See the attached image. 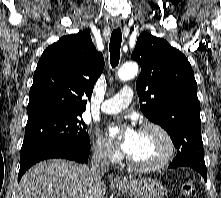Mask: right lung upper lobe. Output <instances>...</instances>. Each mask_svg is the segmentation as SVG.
<instances>
[{
	"instance_id": "right-lung-upper-lobe-1",
	"label": "right lung upper lobe",
	"mask_w": 221,
	"mask_h": 198,
	"mask_svg": "<svg viewBox=\"0 0 221 198\" xmlns=\"http://www.w3.org/2000/svg\"><path fill=\"white\" fill-rule=\"evenodd\" d=\"M104 68L87 31L64 36L43 52L29 93L28 121L48 115L82 114ZM27 121V122H28Z\"/></svg>"
}]
</instances>
